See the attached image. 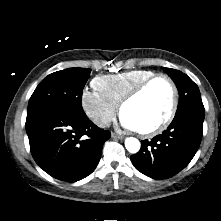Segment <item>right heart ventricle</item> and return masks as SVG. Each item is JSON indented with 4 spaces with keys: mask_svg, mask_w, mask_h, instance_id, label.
Wrapping results in <instances>:
<instances>
[{
    "mask_svg": "<svg viewBox=\"0 0 221 221\" xmlns=\"http://www.w3.org/2000/svg\"><path fill=\"white\" fill-rule=\"evenodd\" d=\"M154 74L150 70L136 69L118 74L102 75L92 81V86L108 100L118 105L129 91Z\"/></svg>",
    "mask_w": 221,
    "mask_h": 221,
    "instance_id": "1",
    "label": "right heart ventricle"
}]
</instances>
